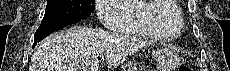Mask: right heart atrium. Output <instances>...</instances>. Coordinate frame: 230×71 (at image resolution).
Returning <instances> with one entry per match:
<instances>
[{"mask_svg": "<svg viewBox=\"0 0 230 71\" xmlns=\"http://www.w3.org/2000/svg\"><path fill=\"white\" fill-rule=\"evenodd\" d=\"M125 0H98L97 15L104 26L111 28L114 23V18H117L116 13H114L113 8L117 4L124 2Z\"/></svg>", "mask_w": 230, "mask_h": 71, "instance_id": "right-heart-atrium-1", "label": "right heart atrium"}]
</instances>
